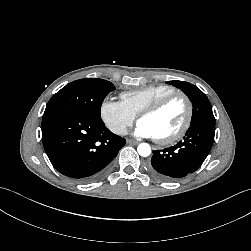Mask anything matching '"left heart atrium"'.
Returning <instances> with one entry per match:
<instances>
[{
    "label": "left heart atrium",
    "instance_id": "39dd6f15",
    "mask_svg": "<svg viewBox=\"0 0 251 251\" xmlns=\"http://www.w3.org/2000/svg\"><path fill=\"white\" fill-rule=\"evenodd\" d=\"M134 134L139 138H156L153 130L142 122H138Z\"/></svg>",
    "mask_w": 251,
    "mask_h": 251
}]
</instances>
